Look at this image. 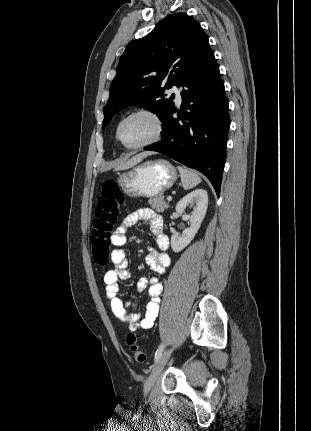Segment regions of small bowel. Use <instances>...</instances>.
<instances>
[{
    "mask_svg": "<svg viewBox=\"0 0 311 431\" xmlns=\"http://www.w3.org/2000/svg\"><path fill=\"white\" fill-rule=\"evenodd\" d=\"M141 221L149 222L150 231L157 245V248H149L146 263L159 275H163L170 265V256L167 253L169 238L163 230L162 216L150 208H141L127 215L111 238L115 247L111 255L115 268L105 273L104 283L106 285V298L111 311L115 317L127 323L132 331L149 329L153 326L159 313L160 295L163 289L157 277H144L138 282V290L143 291L148 287V293L151 298L143 316L136 312V307L133 303L122 300L118 296L119 280L130 278L128 261L124 250L126 234L132 226Z\"/></svg>",
    "mask_w": 311,
    "mask_h": 431,
    "instance_id": "obj_1",
    "label": "small bowel"
}]
</instances>
